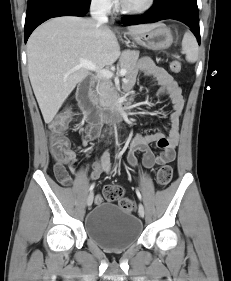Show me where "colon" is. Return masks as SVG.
Here are the masks:
<instances>
[{"mask_svg":"<svg viewBox=\"0 0 231 281\" xmlns=\"http://www.w3.org/2000/svg\"><path fill=\"white\" fill-rule=\"evenodd\" d=\"M170 69L174 73H179L181 71V63L177 60L172 61ZM70 117V112L67 111L58 115L49 124L50 151L55 163H66L71 152L69 140L65 135ZM172 176V167L164 165L157 172V183L160 186H166L170 183ZM103 196L108 202H119V205L128 212H132L135 209V204L132 200L122 198L123 190L119 186L110 185L105 187ZM100 201L101 198L97 197L96 202L98 203Z\"/></svg>","mask_w":231,"mask_h":281,"instance_id":"5ec220e1","label":"colon"}]
</instances>
